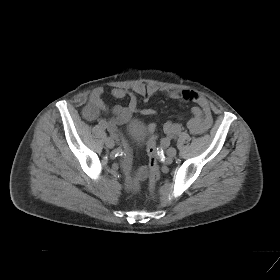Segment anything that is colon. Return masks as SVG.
<instances>
[{"instance_id": "colon-1", "label": "colon", "mask_w": 280, "mask_h": 280, "mask_svg": "<svg viewBox=\"0 0 280 280\" xmlns=\"http://www.w3.org/2000/svg\"><path fill=\"white\" fill-rule=\"evenodd\" d=\"M147 155L149 159L147 176L149 180V190L151 196H154L155 184L159 176L158 155L159 148L156 143V135L151 134L147 142Z\"/></svg>"}]
</instances>
